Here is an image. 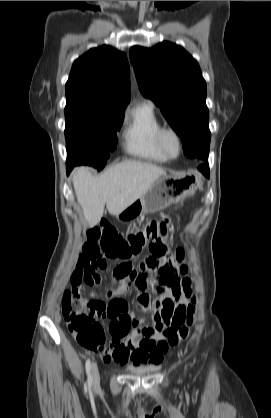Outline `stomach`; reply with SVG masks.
I'll return each mask as SVG.
<instances>
[{
    "instance_id": "obj_1",
    "label": "stomach",
    "mask_w": 271,
    "mask_h": 418,
    "mask_svg": "<svg viewBox=\"0 0 271 418\" xmlns=\"http://www.w3.org/2000/svg\"><path fill=\"white\" fill-rule=\"evenodd\" d=\"M202 183L203 176L197 170L178 175H162L142 197L118 214L117 219L128 222L142 214L163 210L193 195Z\"/></svg>"
}]
</instances>
